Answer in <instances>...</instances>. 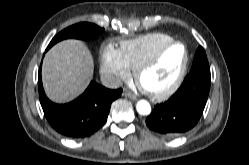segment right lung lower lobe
<instances>
[{
  "mask_svg": "<svg viewBox=\"0 0 249 165\" xmlns=\"http://www.w3.org/2000/svg\"><path fill=\"white\" fill-rule=\"evenodd\" d=\"M39 97L49 124L60 134L71 138L88 137L104 125L112 102L122 89H107L92 81L85 92L67 104L51 102L45 95L41 67L38 75Z\"/></svg>",
  "mask_w": 249,
  "mask_h": 165,
  "instance_id": "98d812e1",
  "label": "right lung lower lobe"
}]
</instances>
